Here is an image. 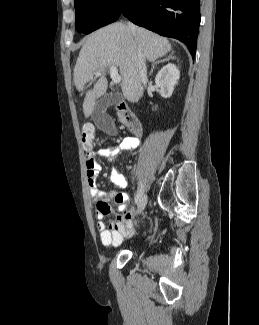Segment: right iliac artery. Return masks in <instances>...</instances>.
I'll return each mask as SVG.
<instances>
[{
  "label": "right iliac artery",
  "instance_id": "right-iliac-artery-1",
  "mask_svg": "<svg viewBox=\"0 0 259 325\" xmlns=\"http://www.w3.org/2000/svg\"><path fill=\"white\" fill-rule=\"evenodd\" d=\"M135 179H136V183H135V186H136V196H135V203L138 202L141 194L143 193V185L141 183V180H140V176L139 175H136L135 176Z\"/></svg>",
  "mask_w": 259,
  "mask_h": 325
}]
</instances>
